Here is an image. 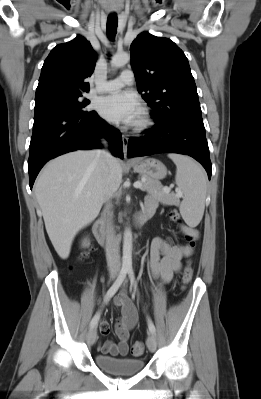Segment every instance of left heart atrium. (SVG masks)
<instances>
[{
	"instance_id": "39dd6f15",
	"label": "left heart atrium",
	"mask_w": 261,
	"mask_h": 399,
	"mask_svg": "<svg viewBox=\"0 0 261 399\" xmlns=\"http://www.w3.org/2000/svg\"><path fill=\"white\" fill-rule=\"evenodd\" d=\"M97 107L104 118L116 123L134 124L141 115V108L135 96L124 91L101 98Z\"/></svg>"
}]
</instances>
